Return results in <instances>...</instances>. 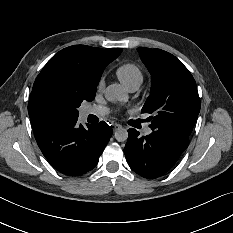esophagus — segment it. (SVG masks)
Segmentation results:
<instances>
[{"mask_svg":"<svg viewBox=\"0 0 233 233\" xmlns=\"http://www.w3.org/2000/svg\"><path fill=\"white\" fill-rule=\"evenodd\" d=\"M122 128V125L121 124H114L113 125V131H117V130H120Z\"/></svg>","mask_w":233,"mask_h":233,"instance_id":"1","label":"esophagus"}]
</instances>
